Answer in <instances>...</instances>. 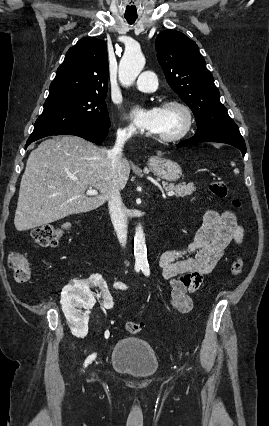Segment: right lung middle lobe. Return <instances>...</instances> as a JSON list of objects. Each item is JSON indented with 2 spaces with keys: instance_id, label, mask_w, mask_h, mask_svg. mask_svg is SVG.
Masks as SVG:
<instances>
[{
  "instance_id": "right-lung-middle-lobe-1",
  "label": "right lung middle lobe",
  "mask_w": 269,
  "mask_h": 426,
  "mask_svg": "<svg viewBox=\"0 0 269 426\" xmlns=\"http://www.w3.org/2000/svg\"><path fill=\"white\" fill-rule=\"evenodd\" d=\"M107 93L57 91L49 93L43 113L28 140L64 132L82 125L110 126L105 98Z\"/></svg>"
}]
</instances>
